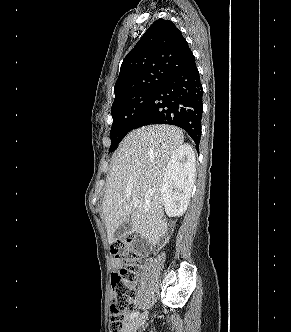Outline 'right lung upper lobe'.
<instances>
[{"mask_svg": "<svg viewBox=\"0 0 291 332\" xmlns=\"http://www.w3.org/2000/svg\"><path fill=\"white\" fill-rule=\"evenodd\" d=\"M193 60L187 41L175 24L156 20L124 58L114 86V101L162 81Z\"/></svg>", "mask_w": 291, "mask_h": 332, "instance_id": "cb5924a9", "label": "right lung upper lobe"}]
</instances>
